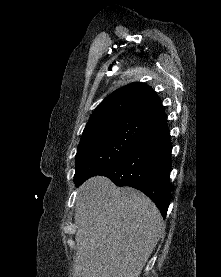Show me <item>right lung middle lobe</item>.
<instances>
[{
  "mask_svg": "<svg viewBox=\"0 0 221 277\" xmlns=\"http://www.w3.org/2000/svg\"><path fill=\"white\" fill-rule=\"evenodd\" d=\"M143 133L140 123L102 125L83 131L76 154L75 184L119 162Z\"/></svg>",
  "mask_w": 221,
  "mask_h": 277,
  "instance_id": "1",
  "label": "right lung middle lobe"
}]
</instances>
